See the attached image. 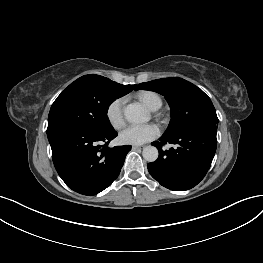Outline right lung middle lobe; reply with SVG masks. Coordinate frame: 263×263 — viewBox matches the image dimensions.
<instances>
[{"mask_svg":"<svg viewBox=\"0 0 263 263\" xmlns=\"http://www.w3.org/2000/svg\"><path fill=\"white\" fill-rule=\"evenodd\" d=\"M122 97L96 79L78 78L54 101L48 116L47 133L64 127L86 128L96 132L113 130L107 110Z\"/></svg>","mask_w":263,"mask_h":263,"instance_id":"1","label":"right lung middle lobe"}]
</instances>
